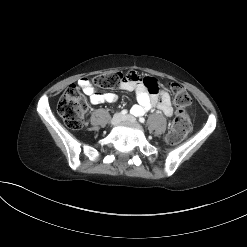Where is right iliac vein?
Instances as JSON below:
<instances>
[{"instance_id": "63e3f726", "label": "right iliac vein", "mask_w": 247, "mask_h": 247, "mask_svg": "<svg viewBox=\"0 0 247 247\" xmlns=\"http://www.w3.org/2000/svg\"><path fill=\"white\" fill-rule=\"evenodd\" d=\"M121 120H122V115L120 113H116L111 119V124L117 125Z\"/></svg>"}]
</instances>
